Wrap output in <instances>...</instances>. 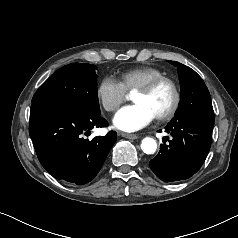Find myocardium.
Wrapping results in <instances>:
<instances>
[{
	"mask_svg": "<svg viewBox=\"0 0 238 238\" xmlns=\"http://www.w3.org/2000/svg\"><path fill=\"white\" fill-rule=\"evenodd\" d=\"M165 83L171 87L174 98H173L171 107L165 113L156 116V118L161 121L171 119L177 113L180 107L181 92L177 83L173 79L167 76H161V77L152 79L145 85L135 90L138 93L149 94L153 92L157 87Z\"/></svg>",
	"mask_w": 238,
	"mask_h": 238,
	"instance_id": "obj_1",
	"label": "myocardium"
}]
</instances>
